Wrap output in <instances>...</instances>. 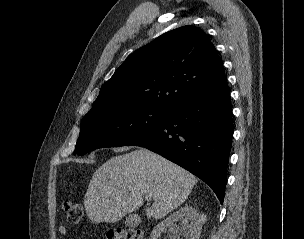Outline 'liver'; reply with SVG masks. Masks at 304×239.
Segmentation results:
<instances>
[{"instance_id":"obj_1","label":"liver","mask_w":304,"mask_h":239,"mask_svg":"<svg viewBox=\"0 0 304 239\" xmlns=\"http://www.w3.org/2000/svg\"><path fill=\"white\" fill-rule=\"evenodd\" d=\"M197 179L187 170L146 149L114 156L93 174L84 197L93 223H114L139 209L147 218H162L189 196Z\"/></svg>"}]
</instances>
